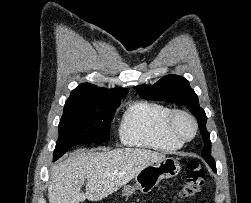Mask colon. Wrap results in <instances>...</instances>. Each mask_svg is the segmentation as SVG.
I'll list each match as a JSON object with an SVG mask.
<instances>
[{"instance_id": "1", "label": "colon", "mask_w": 251, "mask_h": 203, "mask_svg": "<svg viewBox=\"0 0 251 203\" xmlns=\"http://www.w3.org/2000/svg\"><path fill=\"white\" fill-rule=\"evenodd\" d=\"M205 182V169L196 160H191L186 169V181L181 190L183 198H192L201 190Z\"/></svg>"}]
</instances>
